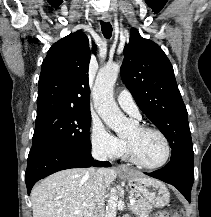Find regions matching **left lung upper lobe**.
I'll list each match as a JSON object with an SVG mask.
<instances>
[{
  "instance_id": "5c2ea615",
  "label": "left lung upper lobe",
  "mask_w": 211,
  "mask_h": 217,
  "mask_svg": "<svg viewBox=\"0 0 211 217\" xmlns=\"http://www.w3.org/2000/svg\"><path fill=\"white\" fill-rule=\"evenodd\" d=\"M121 77L142 112L167 138L171 160L194 161L187 110L164 51L131 29Z\"/></svg>"
}]
</instances>
